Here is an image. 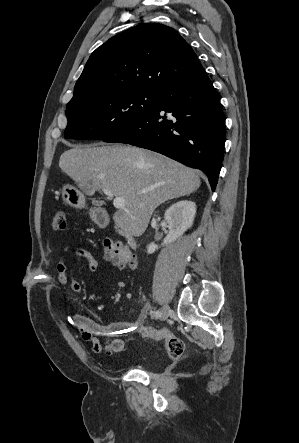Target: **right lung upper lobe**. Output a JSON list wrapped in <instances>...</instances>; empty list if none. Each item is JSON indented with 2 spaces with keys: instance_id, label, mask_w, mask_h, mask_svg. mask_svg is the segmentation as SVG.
Wrapping results in <instances>:
<instances>
[{
  "instance_id": "obj_1",
  "label": "right lung upper lobe",
  "mask_w": 299,
  "mask_h": 443,
  "mask_svg": "<svg viewBox=\"0 0 299 443\" xmlns=\"http://www.w3.org/2000/svg\"><path fill=\"white\" fill-rule=\"evenodd\" d=\"M202 70L196 54L176 30L158 23L140 24L110 38L91 54L69 103L112 91L158 92Z\"/></svg>"
}]
</instances>
